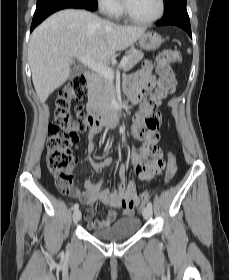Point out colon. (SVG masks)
Wrapping results in <instances>:
<instances>
[{
  "instance_id": "colon-1",
  "label": "colon",
  "mask_w": 229,
  "mask_h": 280,
  "mask_svg": "<svg viewBox=\"0 0 229 280\" xmlns=\"http://www.w3.org/2000/svg\"><path fill=\"white\" fill-rule=\"evenodd\" d=\"M180 58V53L173 49H164L156 57V72L160 78L159 81L168 92L174 90L175 74L171 65L178 62ZM86 83L83 75H77L59 91L55 98V118L49 127L46 163L57 186L65 192L76 190L67 169L74 161L73 145L78 142L79 134L86 132L90 126L89 121L83 117L82 108L77 106L72 111L71 107L72 101H82L84 99ZM153 101V95L145 98V104L147 105H151ZM160 121V116L157 114L138 113L135 116L133 132L138 137L144 136L147 130L159 127ZM155 154L157 159L147 166V169L151 172H158L163 165V161L159 157L160 154L158 152ZM176 172L175 158L170 155L165 170V182H170ZM150 197V192H144L140 199H130L127 204L134 208H141L149 201Z\"/></svg>"
}]
</instances>
